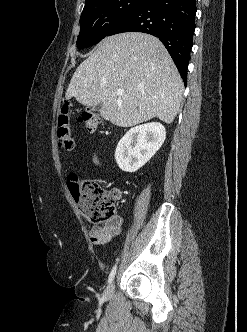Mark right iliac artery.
Returning a JSON list of instances; mask_svg holds the SVG:
<instances>
[{"label":"right iliac artery","instance_id":"obj_1","mask_svg":"<svg viewBox=\"0 0 247 332\" xmlns=\"http://www.w3.org/2000/svg\"><path fill=\"white\" fill-rule=\"evenodd\" d=\"M116 270H117V264H115L110 272L109 278H108V283H111L115 277L116 274Z\"/></svg>","mask_w":247,"mask_h":332}]
</instances>
